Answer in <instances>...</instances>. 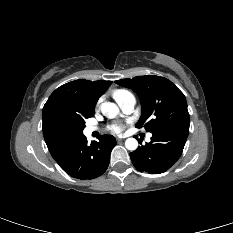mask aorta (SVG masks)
<instances>
[{
    "mask_svg": "<svg viewBox=\"0 0 233 233\" xmlns=\"http://www.w3.org/2000/svg\"><path fill=\"white\" fill-rule=\"evenodd\" d=\"M102 114L107 118H114L119 113V108L112 102H104L101 105ZM125 147L134 151L138 147V141L135 138H128L125 141Z\"/></svg>",
    "mask_w": 233,
    "mask_h": 233,
    "instance_id": "1",
    "label": "aorta"
}]
</instances>
